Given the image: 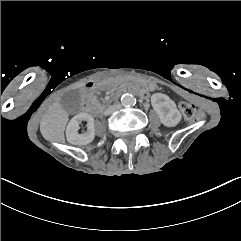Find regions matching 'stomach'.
<instances>
[{
  "instance_id": "0dacf381",
  "label": "stomach",
  "mask_w": 241,
  "mask_h": 241,
  "mask_svg": "<svg viewBox=\"0 0 241 241\" xmlns=\"http://www.w3.org/2000/svg\"><path fill=\"white\" fill-rule=\"evenodd\" d=\"M111 82L114 85H134L138 84L142 87H145L148 90H154L156 88V83L153 80L128 75L124 73H116L111 77Z\"/></svg>"
}]
</instances>
